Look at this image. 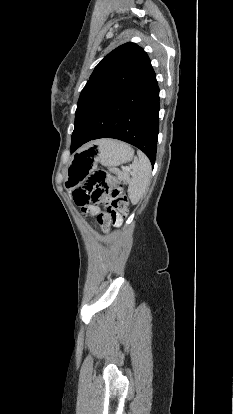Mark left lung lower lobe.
I'll return each mask as SVG.
<instances>
[{
  "label": "left lung lower lobe",
  "instance_id": "0a47b994",
  "mask_svg": "<svg viewBox=\"0 0 233 414\" xmlns=\"http://www.w3.org/2000/svg\"><path fill=\"white\" fill-rule=\"evenodd\" d=\"M159 108V87L151 69L126 89L94 103L75 119L71 151L90 140L115 138L142 150L154 165Z\"/></svg>",
  "mask_w": 233,
  "mask_h": 414
}]
</instances>
